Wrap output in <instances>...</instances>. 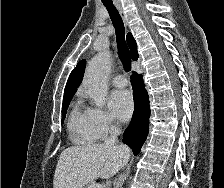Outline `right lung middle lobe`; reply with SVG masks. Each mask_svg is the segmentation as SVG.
<instances>
[{"label":"right lung middle lobe","instance_id":"1","mask_svg":"<svg viewBox=\"0 0 224 188\" xmlns=\"http://www.w3.org/2000/svg\"><path fill=\"white\" fill-rule=\"evenodd\" d=\"M70 101H71V98L66 100V101H63V106H62V116H63V118L61 120V123H63V121H64L66 111H67V108L69 106Z\"/></svg>","mask_w":224,"mask_h":188}]
</instances>
